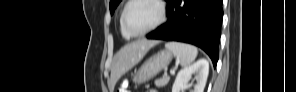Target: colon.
Masks as SVG:
<instances>
[{
  "instance_id": "5ec220e1",
  "label": "colon",
  "mask_w": 296,
  "mask_h": 92,
  "mask_svg": "<svg viewBox=\"0 0 296 92\" xmlns=\"http://www.w3.org/2000/svg\"><path fill=\"white\" fill-rule=\"evenodd\" d=\"M127 87H128V82H127V81H124V82L122 83L121 88H120V92H128Z\"/></svg>"
}]
</instances>
